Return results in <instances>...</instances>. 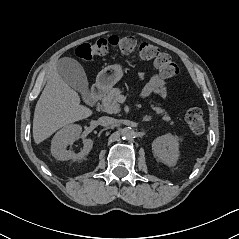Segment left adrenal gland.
Wrapping results in <instances>:
<instances>
[{"instance_id":"obj_1","label":"left adrenal gland","mask_w":239,"mask_h":239,"mask_svg":"<svg viewBox=\"0 0 239 239\" xmlns=\"http://www.w3.org/2000/svg\"><path fill=\"white\" fill-rule=\"evenodd\" d=\"M151 120V116H145L144 118H143V121H146V122H148V121H150Z\"/></svg>"}]
</instances>
